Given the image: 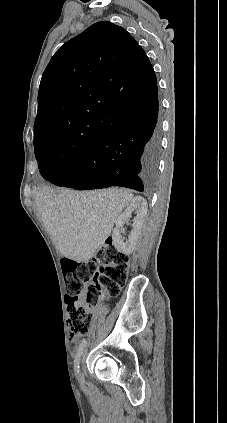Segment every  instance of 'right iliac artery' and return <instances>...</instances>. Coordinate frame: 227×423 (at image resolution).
I'll list each match as a JSON object with an SVG mask.
<instances>
[{"instance_id":"right-iliac-artery-1","label":"right iliac artery","mask_w":227,"mask_h":423,"mask_svg":"<svg viewBox=\"0 0 227 423\" xmlns=\"http://www.w3.org/2000/svg\"><path fill=\"white\" fill-rule=\"evenodd\" d=\"M85 346H86V340L82 339V341L80 342L78 351L76 353L75 359H74V370H75L77 377H78V374H79L80 358H81V355H82V352H83Z\"/></svg>"}]
</instances>
